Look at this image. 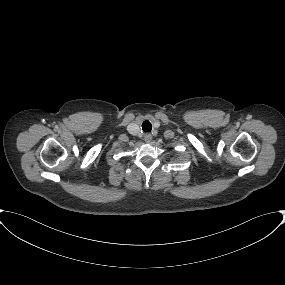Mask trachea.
<instances>
[{"label":"trachea","instance_id":"1","mask_svg":"<svg viewBox=\"0 0 285 285\" xmlns=\"http://www.w3.org/2000/svg\"><path fill=\"white\" fill-rule=\"evenodd\" d=\"M142 129L144 132H150L152 130V124L148 120H145L142 123Z\"/></svg>","mask_w":285,"mask_h":285}]
</instances>
